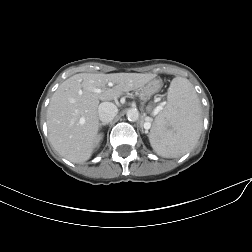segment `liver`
<instances>
[{
	"instance_id": "6515ba94",
	"label": "liver",
	"mask_w": 252,
	"mask_h": 252,
	"mask_svg": "<svg viewBox=\"0 0 252 252\" xmlns=\"http://www.w3.org/2000/svg\"><path fill=\"white\" fill-rule=\"evenodd\" d=\"M152 78V74L140 73H81L65 80L47 109L48 135L54 149L73 163L87 161L98 141L100 100H115L124 92L142 88Z\"/></svg>"
}]
</instances>
